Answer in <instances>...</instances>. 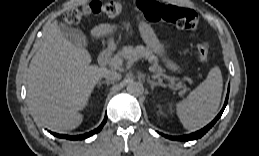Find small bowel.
Here are the masks:
<instances>
[{
  "instance_id": "c3829d8e",
  "label": "small bowel",
  "mask_w": 259,
  "mask_h": 156,
  "mask_svg": "<svg viewBox=\"0 0 259 156\" xmlns=\"http://www.w3.org/2000/svg\"><path fill=\"white\" fill-rule=\"evenodd\" d=\"M113 29L114 27L109 24H101L97 26L94 31L96 35H103L111 32Z\"/></svg>"
}]
</instances>
